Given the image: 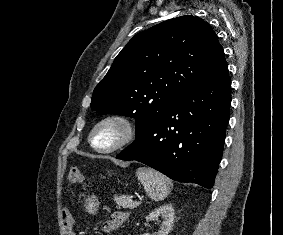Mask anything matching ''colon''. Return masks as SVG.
I'll use <instances>...</instances> for the list:
<instances>
[{
	"label": "colon",
	"mask_w": 283,
	"mask_h": 235,
	"mask_svg": "<svg viewBox=\"0 0 283 235\" xmlns=\"http://www.w3.org/2000/svg\"><path fill=\"white\" fill-rule=\"evenodd\" d=\"M68 180L74 184H83L85 182V177L79 168L71 167L68 173Z\"/></svg>",
	"instance_id": "colon-1"
}]
</instances>
